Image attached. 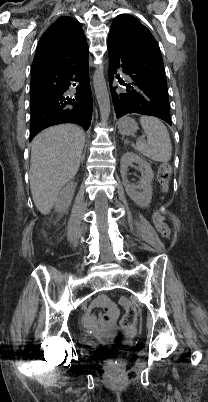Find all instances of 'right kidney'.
I'll return each instance as SVG.
<instances>
[{"mask_svg":"<svg viewBox=\"0 0 208 402\" xmlns=\"http://www.w3.org/2000/svg\"><path fill=\"white\" fill-rule=\"evenodd\" d=\"M75 188V182H69L67 186H64V188H62L61 192H59L58 194L57 200H55V212H61V214H63V212H66L67 208L71 206Z\"/></svg>","mask_w":208,"mask_h":402,"instance_id":"ca27d5eb","label":"right kidney"}]
</instances>
